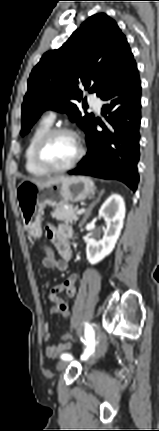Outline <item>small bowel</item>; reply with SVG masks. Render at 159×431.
I'll use <instances>...</instances> for the list:
<instances>
[{
    "instance_id": "obj_1",
    "label": "small bowel",
    "mask_w": 159,
    "mask_h": 431,
    "mask_svg": "<svg viewBox=\"0 0 159 431\" xmlns=\"http://www.w3.org/2000/svg\"><path fill=\"white\" fill-rule=\"evenodd\" d=\"M46 233L55 250L60 256L57 259L55 254L51 261L46 259V254L42 258V265L46 268H53L58 272L66 271L68 267V261L71 257V250L69 246V238L72 237L73 231L68 225H59L58 227L47 226ZM78 281L77 274L69 275L63 283L54 285L50 288L48 297L52 302L50 308L51 314H61L63 316L64 310H69V303L61 297V294H65L67 297L72 298L76 294V283ZM43 338L48 341L51 337L49 331V324L45 322L42 326ZM73 340L69 338L68 333L62 335V341L55 345H49L45 349V353L48 357L54 358L63 353L64 351L71 348Z\"/></svg>"
}]
</instances>
